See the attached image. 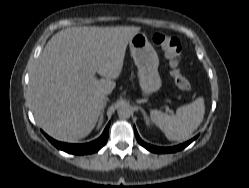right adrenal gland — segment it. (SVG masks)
Listing matches in <instances>:
<instances>
[{
	"mask_svg": "<svg viewBox=\"0 0 249 188\" xmlns=\"http://www.w3.org/2000/svg\"><path fill=\"white\" fill-rule=\"evenodd\" d=\"M106 102H107V101H105V105H106ZM105 105H104V107H105ZM103 115H104V108H103V110H102V112H101V115H100V119H99V123H100V124L103 122Z\"/></svg>",
	"mask_w": 249,
	"mask_h": 188,
	"instance_id": "2a0ac1e0",
	"label": "right adrenal gland"
}]
</instances>
